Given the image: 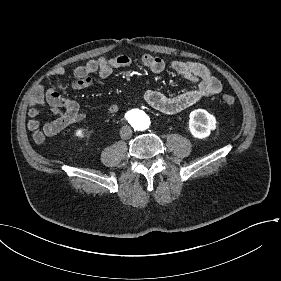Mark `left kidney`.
<instances>
[{"instance_id":"left-kidney-1","label":"left kidney","mask_w":281,"mask_h":281,"mask_svg":"<svg viewBox=\"0 0 281 281\" xmlns=\"http://www.w3.org/2000/svg\"><path fill=\"white\" fill-rule=\"evenodd\" d=\"M216 124L215 116L204 109H196L189 114V132L196 139L208 138L217 129Z\"/></svg>"}]
</instances>
